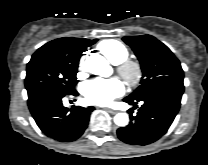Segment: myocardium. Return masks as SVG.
Returning <instances> with one entry per match:
<instances>
[{
  "label": "myocardium",
  "mask_w": 208,
  "mask_h": 165,
  "mask_svg": "<svg viewBox=\"0 0 208 165\" xmlns=\"http://www.w3.org/2000/svg\"><path fill=\"white\" fill-rule=\"evenodd\" d=\"M118 73L131 87L137 86L142 78V67L136 60L125 59L119 63Z\"/></svg>",
  "instance_id": "1"
}]
</instances>
